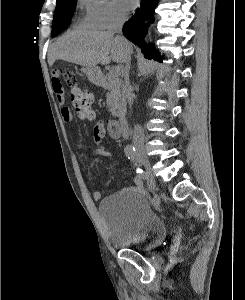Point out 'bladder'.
Here are the masks:
<instances>
[{
    "label": "bladder",
    "mask_w": 245,
    "mask_h": 300,
    "mask_svg": "<svg viewBox=\"0 0 245 300\" xmlns=\"http://www.w3.org/2000/svg\"><path fill=\"white\" fill-rule=\"evenodd\" d=\"M99 214L114 248L151 250L168 235L165 222L138 192L125 190L107 196L99 205Z\"/></svg>",
    "instance_id": "bladder-1"
}]
</instances>
